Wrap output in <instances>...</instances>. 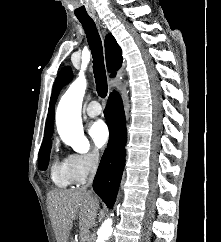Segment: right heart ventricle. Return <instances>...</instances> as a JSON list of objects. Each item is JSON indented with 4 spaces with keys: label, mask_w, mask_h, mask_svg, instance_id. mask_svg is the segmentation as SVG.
<instances>
[{
    "label": "right heart ventricle",
    "mask_w": 221,
    "mask_h": 242,
    "mask_svg": "<svg viewBox=\"0 0 221 242\" xmlns=\"http://www.w3.org/2000/svg\"><path fill=\"white\" fill-rule=\"evenodd\" d=\"M51 179L60 187H65L73 182L68 166L64 161L55 160L51 166Z\"/></svg>",
    "instance_id": "obj_1"
}]
</instances>
